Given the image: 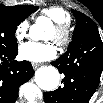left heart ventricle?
Returning a JSON list of instances; mask_svg holds the SVG:
<instances>
[{"instance_id":"1","label":"left heart ventricle","mask_w":103,"mask_h":103,"mask_svg":"<svg viewBox=\"0 0 103 103\" xmlns=\"http://www.w3.org/2000/svg\"><path fill=\"white\" fill-rule=\"evenodd\" d=\"M55 35H56V32H55V29H53V30L51 31V35H50V37H51V38H54Z\"/></svg>"}]
</instances>
